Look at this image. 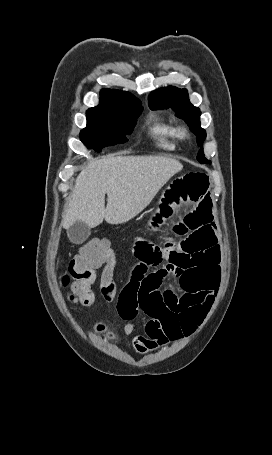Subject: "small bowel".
I'll use <instances>...</instances> for the list:
<instances>
[{"label":"small bowel","mask_w":272,"mask_h":455,"mask_svg":"<svg viewBox=\"0 0 272 455\" xmlns=\"http://www.w3.org/2000/svg\"><path fill=\"white\" fill-rule=\"evenodd\" d=\"M209 189L210 179L203 172L177 176L166 189L150 227L170 220L184 207L172 226L184 239L164 245L139 239L135 245L138 263L116 303L118 314L126 321L125 335L135 331L140 313L149 317L145 334L133 339L139 354L191 335L214 302L220 282L221 251ZM169 277L176 282L180 295L174 284H165Z\"/></svg>","instance_id":"small-bowel-1"}]
</instances>
